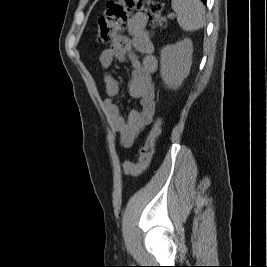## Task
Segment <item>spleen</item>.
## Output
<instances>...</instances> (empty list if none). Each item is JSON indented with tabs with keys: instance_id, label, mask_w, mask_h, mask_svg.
I'll list each match as a JSON object with an SVG mask.
<instances>
[{
	"instance_id": "3e777b00",
	"label": "spleen",
	"mask_w": 267,
	"mask_h": 267,
	"mask_svg": "<svg viewBox=\"0 0 267 267\" xmlns=\"http://www.w3.org/2000/svg\"><path fill=\"white\" fill-rule=\"evenodd\" d=\"M171 4L184 31H195L205 25V7L200 0H172Z\"/></svg>"
}]
</instances>
